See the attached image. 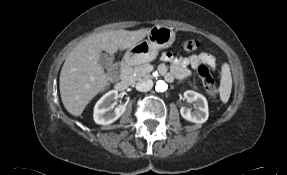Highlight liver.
<instances>
[{
	"instance_id": "1",
	"label": "liver",
	"mask_w": 287,
	"mask_h": 175,
	"mask_svg": "<svg viewBox=\"0 0 287 175\" xmlns=\"http://www.w3.org/2000/svg\"><path fill=\"white\" fill-rule=\"evenodd\" d=\"M150 29L110 30L83 39L67 56L60 73V95L66 110L80 116L87 104L108 85L98 63L100 53L113 55L140 42Z\"/></svg>"
}]
</instances>
